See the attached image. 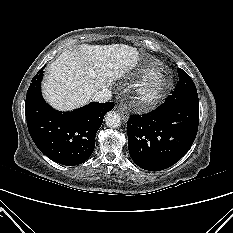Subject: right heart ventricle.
<instances>
[{"label": "right heart ventricle", "mask_w": 233, "mask_h": 233, "mask_svg": "<svg viewBox=\"0 0 233 233\" xmlns=\"http://www.w3.org/2000/svg\"><path fill=\"white\" fill-rule=\"evenodd\" d=\"M153 70H154V68H152L150 66H146V67H143L139 70V74L142 76H145V75L152 73Z\"/></svg>", "instance_id": "obj_1"}]
</instances>
